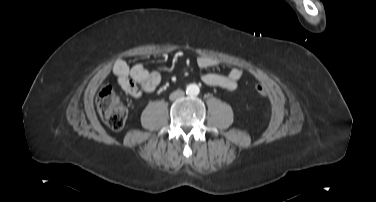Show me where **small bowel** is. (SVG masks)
Returning a JSON list of instances; mask_svg holds the SVG:
<instances>
[{
  "mask_svg": "<svg viewBox=\"0 0 376 202\" xmlns=\"http://www.w3.org/2000/svg\"><path fill=\"white\" fill-rule=\"evenodd\" d=\"M200 68H213L225 64L217 58L201 56L197 60ZM239 67L231 68L226 74L208 72L202 75L203 83L208 86L234 90L242 77ZM113 74L120 88L133 98H139L144 92H153L161 82V74L151 71L143 64L132 67L123 59H118L113 66Z\"/></svg>",
  "mask_w": 376,
  "mask_h": 202,
  "instance_id": "obj_1",
  "label": "small bowel"
}]
</instances>
